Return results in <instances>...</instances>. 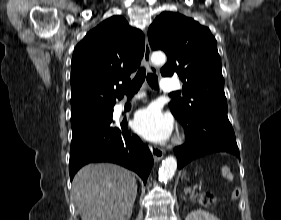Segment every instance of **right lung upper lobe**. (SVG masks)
Instances as JSON below:
<instances>
[{
	"label": "right lung upper lobe",
	"mask_w": 281,
	"mask_h": 220,
	"mask_svg": "<svg viewBox=\"0 0 281 220\" xmlns=\"http://www.w3.org/2000/svg\"><path fill=\"white\" fill-rule=\"evenodd\" d=\"M143 33L113 16L87 33L75 47L71 64V119L109 110L121 99L144 54Z\"/></svg>",
	"instance_id": "1"
}]
</instances>
